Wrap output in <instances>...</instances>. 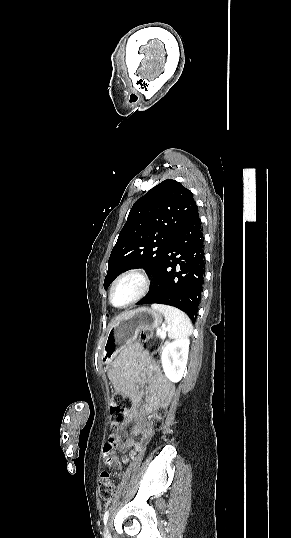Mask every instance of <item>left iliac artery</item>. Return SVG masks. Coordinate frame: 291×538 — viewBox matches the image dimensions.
<instances>
[{
    "instance_id": "left-iliac-artery-1",
    "label": "left iliac artery",
    "mask_w": 291,
    "mask_h": 538,
    "mask_svg": "<svg viewBox=\"0 0 291 538\" xmlns=\"http://www.w3.org/2000/svg\"><path fill=\"white\" fill-rule=\"evenodd\" d=\"M108 517H109V510H107L104 514V517H103V521H104V525H106L107 523V520H108Z\"/></svg>"
}]
</instances>
